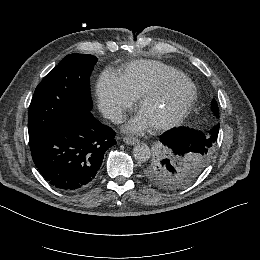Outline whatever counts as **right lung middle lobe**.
Listing matches in <instances>:
<instances>
[{"label":"right lung middle lobe","instance_id":"dd1d6c3e","mask_svg":"<svg viewBox=\"0 0 260 260\" xmlns=\"http://www.w3.org/2000/svg\"><path fill=\"white\" fill-rule=\"evenodd\" d=\"M97 58L69 54L36 87L28 112L29 140L91 111L89 78Z\"/></svg>","mask_w":260,"mask_h":260}]
</instances>
